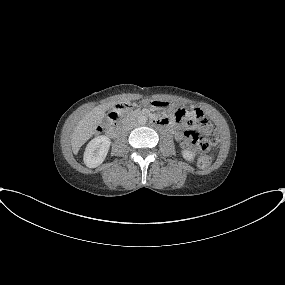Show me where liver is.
Returning a JSON list of instances; mask_svg holds the SVG:
<instances>
[{"mask_svg": "<svg viewBox=\"0 0 285 285\" xmlns=\"http://www.w3.org/2000/svg\"><path fill=\"white\" fill-rule=\"evenodd\" d=\"M114 105L115 102L98 105L79 121L71 136V146L74 154H77L80 147L95 134L105 112Z\"/></svg>", "mask_w": 285, "mask_h": 285, "instance_id": "obj_1", "label": "liver"}]
</instances>
